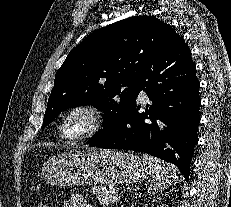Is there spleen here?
<instances>
[{
    "label": "spleen",
    "instance_id": "3e777b00",
    "mask_svg": "<svg viewBox=\"0 0 231 207\" xmlns=\"http://www.w3.org/2000/svg\"><path fill=\"white\" fill-rule=\"evenodd\" d=\"M142 159L148 164L152 176V185L149 192L153 194L161 192L177 179L178 169L174 165L147 154L143 155Z\"/></svg>",
    "mask_w": 231,
    "mask_h": 207
}]
</instances>
